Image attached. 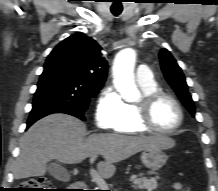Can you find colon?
Instances as JSON below:
<instances>
[{
  "label": "colon",
  "mask_w": 218,
  "mask_h": 191,
  "mask_svg": "<svg viewBox=\"0 0 218 191\" xmlns=\"http://www.w3.org/2000/svg\"><path fill=\"white\" fill-rule=\"evenodd\" d=\"M177 188L180 191H190L188 186L178 184ZM19 191H65L63 189H54L51 185V182L44 178H32L24 181L19 188Z\"/></svg>",
  "instance_id": "1"
}]
</instances>
